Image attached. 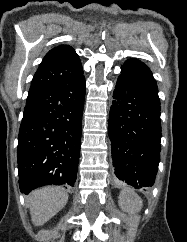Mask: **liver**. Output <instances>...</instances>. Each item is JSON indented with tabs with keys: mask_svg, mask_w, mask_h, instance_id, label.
I'll return each instance as SVG.
<instances>
[{
	"mask_svg": "<svg viewBox=\"0 0 187 242\" xmlns=\"http://www.w3.org/2000/svg\"><path fill=\"white\" fill-rule=\"evenodd\" d=\"M68 194L58 186H48L33 191L28 197L31 220L41 226L55 216L67 203Z\"/></svg>",
	"mask_w": 187,
	"mask_h": 242,
	"instance_id": "liver-1",
	"label": "liver"
}]
</instances>
